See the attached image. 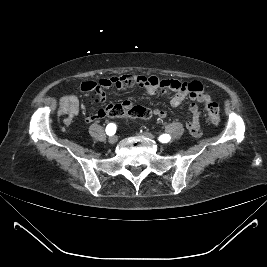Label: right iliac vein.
Listing matches in <instances>:
<instances>
[{"label":"right iliac vein","instance_id":"63e3f726","mask_svg":"<svg viewBox=\"0 0 267 267\" xmlns=\"http://www.w3.org/2000/svg\"><path fill=\"white\" fill-rule=\"evenodd\" d=\"M117 141H118V137L116 135H113V136L109 137V139H108V142L110 144H115Z\"/></svg>","mask_w":267,"mask_h":267}]
</instances>
